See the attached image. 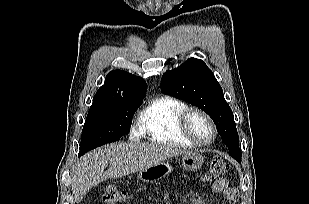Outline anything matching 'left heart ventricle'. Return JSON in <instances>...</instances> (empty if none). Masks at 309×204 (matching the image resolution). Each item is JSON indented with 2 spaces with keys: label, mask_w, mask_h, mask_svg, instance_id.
Returning <instances> with one entry per match:
<instances>
[{
  "label": "left heart ventricle",
  "mask_w": 309,
  "mask_h": 204,
  "mask_svg": "<svg viewBox=\"0 0 309 204\" xmlns=\"http://www.w3.org/2000/svg\"><path fill=\"white\" fill-rule=\"evenodd\" d=\"M189 125L194 136L200 141H208L212 137V130L207 120L200 114L190 116Z\"/></svg>",
  "instance_id": "b2bd125f"
}]
</instances>
